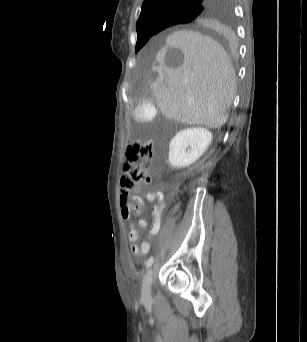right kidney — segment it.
Here are the masks:
<instances>
[{
  "label": "right kidney",
  "instance_id": "obj_1",
  "mask_svg": "<svg viewBox=\"0 0 307 342\" xmlns=\"http://www.w3.org/2000/svg\"><path fill=\"white\" fill-rule=\"evenodd\" d=\"M212 134L206 128H187L172 138L169 146L171 168L182 170L194 164L212 142Z\"/></svg>",
  "mask_w": 307,
  "mask_h": 342
}]
</instances>
